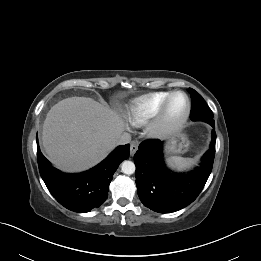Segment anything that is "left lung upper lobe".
<instances>
[{
    "instance_id": "1",
    "label": "left lung upper lobe",
    "mask_w": 261,
    "mask_h": 261,
    "mask_svg": "<svg viewBox=\"0 0 261 261\" xmlns=\"http://www.w3.org/2000/svg\"><path fill=\"white\" fill-rule=\"evenodd\" d=\"M189 92L192 98L191 114L190 118L193 121H212L213 114L211 109L206 104L202 96L194 89L189 88Z\"/></svg>"
}]
</instances>
